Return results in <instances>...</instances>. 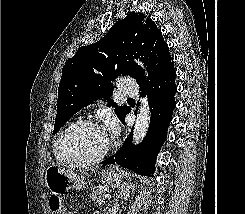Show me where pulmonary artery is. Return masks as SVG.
I'll return each instance as SVG.
<instances>
[{
  "label": "pulmonary artery",
  "mask_w": 245,
  "mask_h": 214,
  "mask_svg": "<svg viewBox=\"0 0 245 214\" xmlns=\"http://www.w3.org/2000/svg\"><path fill=\"white\" fill-rule=\"evenodd\" d=\"M118 87L125 96L136 97L139 93V86L135 80L121 79L118 81Z\"/></svg>",
  "instance_id": "pulmonary-artery-1"
}]
</instances>
